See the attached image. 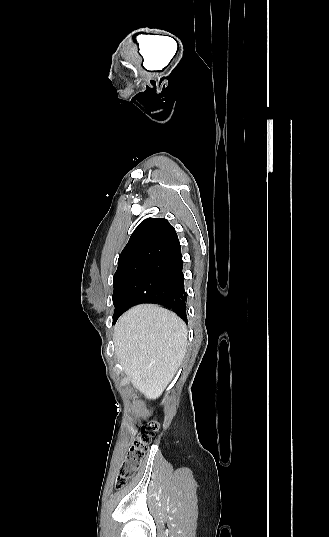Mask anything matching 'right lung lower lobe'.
Returning <instances> with one entry per match:
<instances>
[{
	"instance_id": "1",
	"label": "right lung lower lobe",
	"mask_w": 329,
	"mask_h": 537,
	"mask_svg": "<svg viewBox=\"0 0 329 537\" xmlns=\"http://www.w3.org/2000/svg\"><path fill=\"white\" fill-rule=\"evenodd\" d=\"M181 246L149 263L136 277L122 298L120 310L113 323L129 307L138 303H158L187 319Z\"/></svg>"
}]
</instances>
